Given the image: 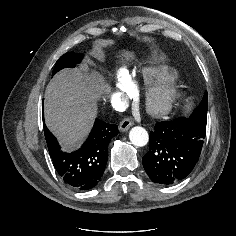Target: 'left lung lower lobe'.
I'll use <instances>...</instances> for the list:
<instances>
[{
    "label": "left lung lower lobe",
    "mask_w": 236,
    "mask_h": 236,
    "mask_svg": "<svg viewBox=\"0 0 236 236\" xmlns=\"http://www.w3.org/2000/svg\"><path fill=\"white\" fill-rule=\"evenodd\" d=\"M207 118L163 121L150 132L143 166L150 179L171 185L184 179L198 162L206 136Z\"/></svg>",
    "instance_id": "1"
}]
</instances>
